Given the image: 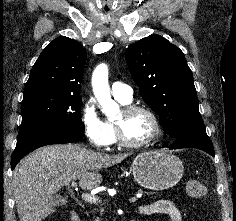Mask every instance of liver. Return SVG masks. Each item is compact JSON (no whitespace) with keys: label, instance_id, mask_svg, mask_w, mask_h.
I'll list each match as a JSON object with an SVG mask.
<instances>
[{"label":"liver","instance_id":"liver-1","mask_svg":"<svg viewBox=\"0 0 236 221\" xmlns=\"http://www.w3.org/2000/svg\"><path fill=\"white\" fill-rule=\"evenodd\" d=\"M129 154L108 155L77 144L52 145L27 155L13 171V194L20 221H42L55 212L53 195L76 180L83 190L102 182L100 169L120 163Z\"/></svg>","mask_w":236,"mask_h":221}]
</instances>
